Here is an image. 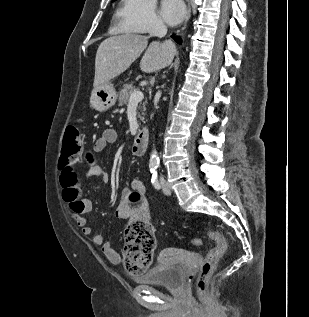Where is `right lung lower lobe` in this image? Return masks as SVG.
<instances>
[{
  "instance_id": "right-lung-lower-lobe-1",
  "label": "right lung lower lobe",
  "mask_w": 309,
  "mask_h": 317,
  "mask_svg": "<svg viewBox=\"0 0 309 317\" xmlns=\"http://www.w3.org/2000/svg\"><path fill=\"white\" fill-rule=\"evenodd\" d=\"M172 38H174V40L176 41V42H178V43H180L181 44V40H180V37H174V36H172Z\"/></svg>"
}]
</instances>
